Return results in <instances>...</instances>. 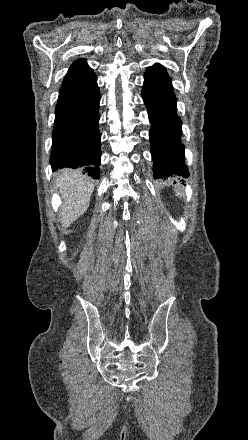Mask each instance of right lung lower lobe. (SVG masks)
I'll use <instances>...</instances> for the list:
<instances>
[{"instance_id": "obj_1", "label": "right lung lower lobe", "mask_w": 248, "mask_h": 440, "mask_svg": "<svg viewBox=\"0 0 248 440\" xmlns=\"http://www.w3.org/2000/svg\"><path fill=\"white\" fill-rule=\"evenodd\" d=\"M99 102L96 78L82 87L59 92L52 132V169L82 168L84 174L99 179Z\"/></svg>"}]
</instances>
